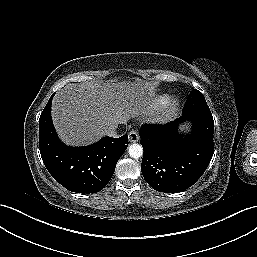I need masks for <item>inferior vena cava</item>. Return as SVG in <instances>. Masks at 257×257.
Returning a JSON list of instances; mask_svg holds the SVG:
<instances>
[{
	"instance_id": "1",
	"label": "inferior vena cava",
	"mask_w": 257,
	"mask_h": 257,
	"mask_svg": "<svg viewBox=\"0 0 257 257\" xmlns=\"http://www.w3.org/2000/svg\"><path fill=\"white\" fill-rule=\"evenodd\" d=\"M105 135L110 137H117L116 129H109L105 132Z\"/></svg>"
}]
</instances>
